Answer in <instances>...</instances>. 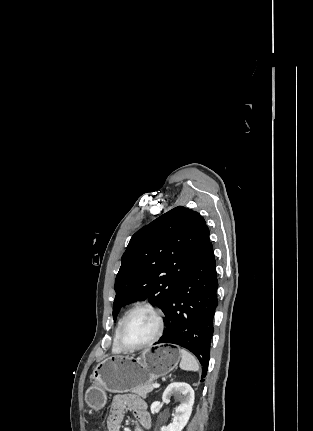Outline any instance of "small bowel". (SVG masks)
Segmentation results:
<instances>
[{
  "mask_svg": "<svg viewBox=\"0 0 313 431\" xmlns=\"http://www.w3.org/2000/svg\"><path fill=\"white\" fill-rule=\"evenodd\" d=\"M127 408L134 413L138 420L135 431H147L150 428L151 420L146 405L141 399L131 394L114 396L107 420L108 431H121V423Z\"/></svg>",
  "mask_w": 313,
  "mask_h": 431,
  "instance_id": "1",
  "label": "small bowel"
}]
</instances>
